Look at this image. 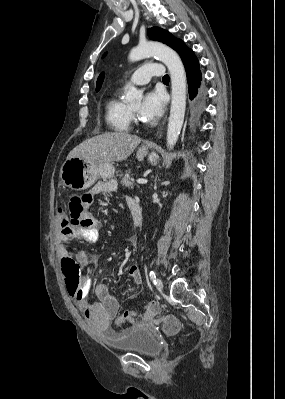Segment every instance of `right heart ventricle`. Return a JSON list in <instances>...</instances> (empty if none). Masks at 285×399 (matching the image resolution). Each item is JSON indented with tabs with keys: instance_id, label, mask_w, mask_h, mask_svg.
Here are the masks:
<instances>
[{
	"instance_id": "obj_1",
	"label": "right heart ventricle",
	"mask_w": 285,
	"mask_h": 399,
	"mask_svg": "<svg viewBox=\"0 0 285 399\" xmlns=\"http://www.w3.org/2000/svg\"><path fill=\"white\" fill-rule=\"evenodd\" d=\"M107 125L116 132H128L131 129L132 115L130 108L117 94H112L105 104Z\"/></svg>"
}]
</instances>
